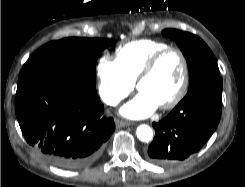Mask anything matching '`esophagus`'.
<instances>
[{"label": "esophagus", "mask_w": 245, "mask_h": 187, "mask_svg": "<svg viewBox=\"0 0 245 187\" xmlns=\"http://www.w3.org/2000/svg\"><path fill=\"white\" fill-rule=\"evenodd\" d=\"M115 123H116L117 128L127 127L130 125V123L119 120V119H117Z\"/></svg>", "instance_id": "34e87169"}]
</instances>
